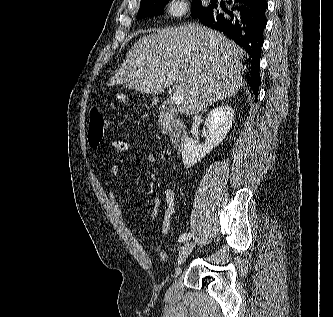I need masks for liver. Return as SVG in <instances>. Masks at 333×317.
Wrapping results in <instances>:
<instances>
[{
    "mask_svg": "<svg viewBox=\"0 0 333 317\" xmlns=\"http://www.w3.org/2000/svg\"><path fill=\"white\" fill-rule=\"evenodd\" d=\"M156 31L131 47L110 85L160 94L173 83L182 95L179 111L187 116L244 85L245 51L221 33L191 23Z\"/></svg>",
    "mask_w": 333,
    "mask_h": 317,
    "instance_id": "liver-1",
    "label": "liver"
}]
</instances>
